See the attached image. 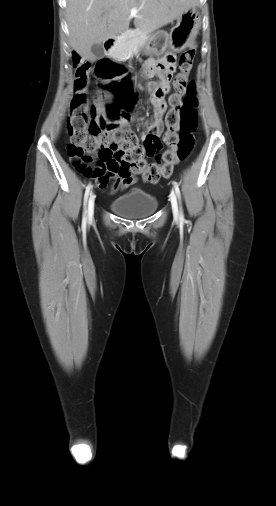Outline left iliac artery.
<instances>
[{"mask_svg":"<svg viewBox=\"0 0 276 506\" xmlns=\"http://www.w3.org/2000/svg\"><path fill=\"white\" fill-rule=\"evenodd\" d=\"M173 185H174V189H175L177 196L180 198V189H179L178 184L176 182H173ZM180 219L184 220L182 208H180Z\"/></svg>","mask_w":276,"mask_h":506,"instance_id":"left-iliac-artery-1","label":"left iliac artery"}]
</instances>
